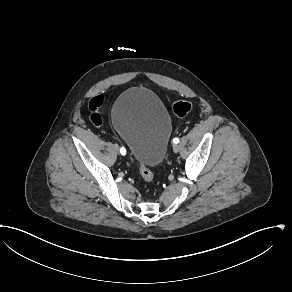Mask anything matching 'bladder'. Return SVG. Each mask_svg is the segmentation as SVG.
I'll use <instances>...</instances> for the list:
<instances>
[{
    "label": "bladder",
    "mask_w": 292,
    "mask_h": 292,
    "mask_svg": "<svg viewBox=\"0 0 292 292\" xmlns=\"http://www.w3.org/2000/svg\"><path fill=\"white\" fill-rule=\"evenodd\" d=\"M111 122L139 164L155 168L162 163L172 121L155 92L145 87L125 90L112 107Z\"/></svg>",
    "instance_id": "obj_1"
}]
</instances>
